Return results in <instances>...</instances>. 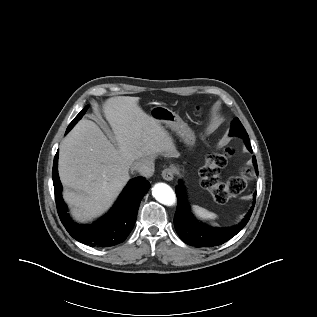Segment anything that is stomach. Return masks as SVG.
<instances>
[{
	"instance_id": "1",
	"label": "stomach",
	"mask_w": 317,
	"mask_h": 317,
	"mask_svg": "<svg viewBox=\"0 0 317 317\" xmlns=\"http://www.w3.org/2000/svg\"><path fill=\"white\" fill-rule=\"evenodd\" d=\"M150 116L160 124H164L172 131L176 132L185 144L193 146L195 135L189 126L184 123L178 114L166 106L157 105L151 108Z\"/></svg>"
}]
</instances>
